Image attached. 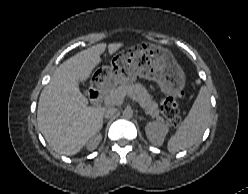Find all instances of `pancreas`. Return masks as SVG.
I'll return each mask as SVG.
<instances>
[{
  "instance_id": "1",
  "label": "pancreas",
  "mask_w": 248,
  "mask_h": 194,
  "mask_svg": "<svg viewBox=\"0 0 248 194\" xmlns=\"http://www.w3.org/2000/svg\"><path fill=\"white\" fill-rule=\"evenodd\" d=\"M134 96L135 100L140 104L144 111L152 118L158 121H164L159 116L158 104L152 99L147 89L140 83L123 84L117 88L111 89L104 97L108 105H120L125 96Z\"/></svg>"
}]
</instances>
